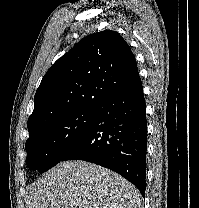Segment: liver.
Returning a JSON list of instances; mask_svg holds the SVG:
<instances>
[{
	"mask_svg": "<svg viewBox=\"0 0 199 208\" xmlns=\"http://www.w3.org/2000/svg\"><path fill=\"white\" fill-rule=\"evenodd\" d=\"M138 189L117 173L86 161L60 162L34 183L29 208H139Z\"/></svg>",
	"mask_w": 199,
	"mask_h": 208,
	"instance_id": "6515ba94",
	"label": "liver"
}]
</instances>
